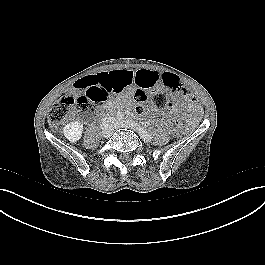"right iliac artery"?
<instances>
[{"label":"right iliac artery","instance_id":"obj_1","mask_svg":"<svg viewBox=\"0 0 265 265\" xmlns=\"http://www.w3.org/2000/svg\"><path fill=\"white\" fill-rule=\"evenodd\" d=\"M116 117L118 120H122L124 115L121 112H118Z\"/></svg>","mask_w":265,"mask_h":265}]
</instances>
